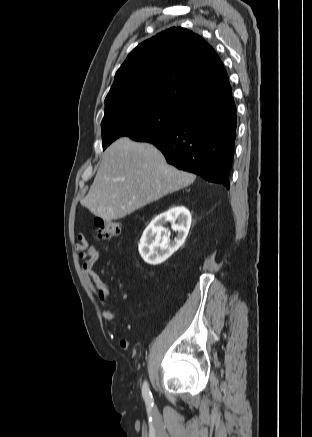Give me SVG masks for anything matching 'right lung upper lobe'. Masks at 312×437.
<instances>
[{
    "instance_id": "cb5924a9",
    "label": "right lung upper lobe",
    "mask_w": 312,
    "mask_h": 437,
    "mask_svg": "<svg viewBox=\"0 0 312 437\" xmlns=\"http://www.w3.org/2000/svg\"><path fill=\"white\" fill-rule=\"evenodd\" d=\"M229 86L215 50L192 31L173 27L139 44L128 55L105 99V114L140 102L191 110Z\"/></svg>"
}]
</instances>
